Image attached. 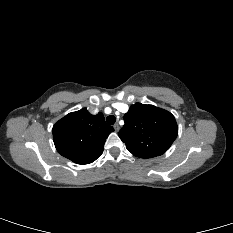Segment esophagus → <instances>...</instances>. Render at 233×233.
Listing matches in <instances>:
<instances>
[{
  "label": "esophagus",
  "instance_id": "obj_1",
  "mask_svg": "<svg viewBox=\"0 0 233 233\" xmlns=\"http://www.w3.org/2000/svg\"><path fill=\"white\" fill-rule=\"evenodd\" d=\"M113 128H114V130H115L116 132H118L119 129H120V127H119V125H118L117 123L113 125Z\"/></svg>",
  "mask_w": 233,
  "mask_h": 233
}]
</instances>
